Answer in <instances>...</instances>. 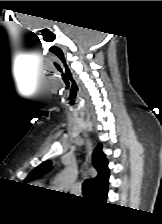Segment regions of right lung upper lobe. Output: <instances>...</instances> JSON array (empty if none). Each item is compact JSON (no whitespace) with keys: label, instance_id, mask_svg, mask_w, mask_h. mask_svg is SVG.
Wrapping results in <instances>:
<instances>
[{"label":"right lung upper lobe","instance_id":"cb5924a9","mask_svg":"<svg viewBox=\"0 0 162 224\" xmlns=\"http://www.w3.org/2000/svg\"><path fill=\"white\" fill-rule=\"evenodd\" d=\"M93 165L98 171L97 177L92 179V184L90 187V194L93 197H98L108 190V179H109V169L108 161L105 158V154L102 152V145L99 144L93 154ZM51 161H45L37 166L25 179V182H30L35 178L47 173Z\"/></svg>","mask_w":162,"mask_h":224}]
</instances>
